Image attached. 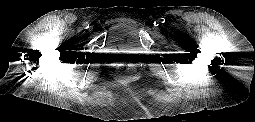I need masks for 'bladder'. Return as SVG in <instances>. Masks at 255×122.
I'll list each match as a JSON object with an SVG mask.
<instances>
[{
	"label": "bladder",
	"mask_w": 255,
	"mask_h": 122,
	"mask_svg": "<svg viewBox=\"0 0 255 122\" xmlns=\"http://www.w3.org/2000/svg\"><path fill=\"white\" fill-rule=\"evenodd\" d=\"M108 41L126 49H135L138 46L136 27L132 24L114 26L108 33Z\"/></svg>",
	"instance_id": "31cf9c89"
}]
</instances>
